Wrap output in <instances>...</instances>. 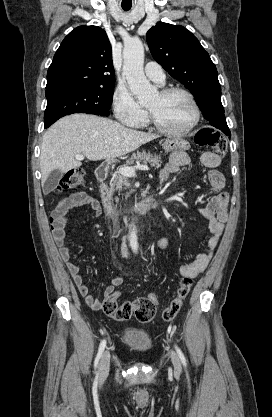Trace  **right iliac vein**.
<instances>
[{"mask_svg":"<svg viewBox=\"0 0 272 417\" xmlns=\"http://www.w3.org/2000/svg\"><path fill=\"white\" fill-rule=\"evenodd\" d=\"M109 366H110V352L106 350L102 356L101 362H100V375L101 377H104L109 372Z\"/></svg>","mask_w":272,"mask_h":417,"instance_id":"1","label":"right iliac vein"}]
</instances>
